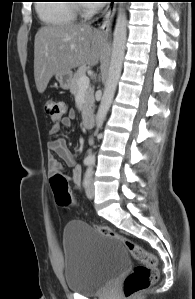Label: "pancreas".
<instances>
[{
	"instance_id": "1",
	"label": "pancreas",
	"mask_w": 195,
	"mask_h": 299,
	"mask_svg": "<svg viewBox=\"0 0 195 299\" xmlns=\"http://www.w3.org/2000/svg\"><path fill=\"white\" fill-rule=\"evenodd\" d=\"M87 68L85 66H81L78 68L77 72L73 76L72 84L70 86V92L72 95L76 96L79 91L78 81L80 77L86 75ZM94 104V89L92 87H88L85 91L84 103L82 106V116H85L87 112L91 109Z\"/></svg>"
}]
</instances>
